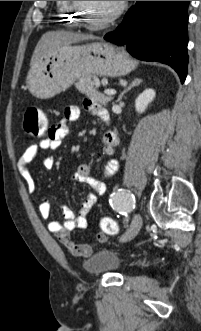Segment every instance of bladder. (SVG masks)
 <instances>
[{
    "label": "bladder",
    "mask_w": 201,
    "mask_h": 331,
    "mask_svg": "<svg viewBox=\"0 0 201 331\" xmlns=\"http://www.w3.org/2000/svg\"><path fill=\"white\" fill-rule=\"evenodd\" d=\"M84 269L93 275L103 273H116L121 270L122 261L120 257L109 249L93 251L84 261Z\"/></svg>",
    "instance_id": "obj_1"
}]
</instances>
